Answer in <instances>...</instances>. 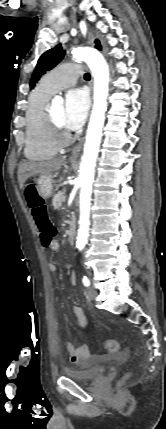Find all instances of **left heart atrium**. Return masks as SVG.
<instances>
[{"instance_id":"left-heart-atrium-1","label":"left heart atrium","mask_w":166,"mask_h":429,"mask_svg":"<svg viewBox=\"0 0 166 429\" xmlns=\"http://www.w3.org/2000/svg\"><path fill=\"white\" fill-rule=\"evenodd\" d=\"M89 104V96L84 89H72L66 94L63 125L67 130H76L83 125L88 114Z\"/></svg>"}]
</instances>
